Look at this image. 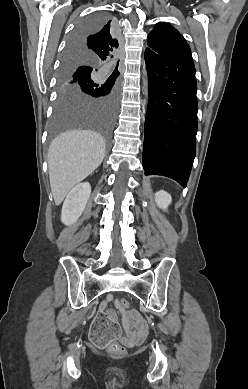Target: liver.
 <instances>
[{
    "label": "liver",
    "instance_id": "liver-1",
    "mask_svg": "<svg viewBox=\"0 0 248 389\" xmlns=\"http://www.w3.org/2000/svg\"><path fill=\"white\" fill-rule=\"evenodd\" d=\"M105 140L91 130H70L58 135L48 150L51 192L59 205L78 183L102 163Z\"/></svg>",
    "mask_w": 248,
    "mask_h": 389
}]
</instances>
